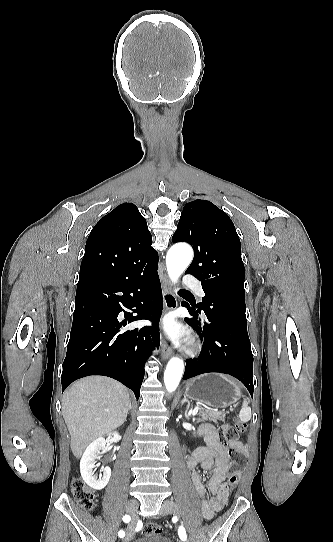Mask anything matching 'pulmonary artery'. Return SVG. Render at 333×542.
Listing matches in <instances>:
<instances>
[{
    "instance_id": "1",
    "label": "pulmonary artery",
    "mask_w": 333,
    "mask_h": 542,
    "mask_svg": "<svg viewBox=\"0 0 333 542\" xmlns=\"http://www.w3.org/2000/svg\"><path fill=\"white\" fill-rule=\"evenodd\" d=\"M196 279L197 278L195 274H192V273L187 274L185 276V280L183 281V286L189 289L192 288L193 291H196L199 294L201 292L200 290L202 286L200 282L196 281ZM203 296H204V293L201 292L199 297L202 298Z\"/></svg>"
}]
</instances>
